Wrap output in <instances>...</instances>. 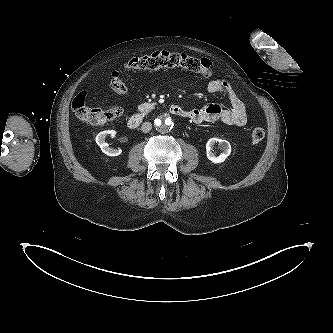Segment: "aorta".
I'll list each match as a JSON object with an SVG mask.
<instances>
[{
  "label": "aorta",
  "mask_w": 333,
  "mask_h": 333,
  "mask_svg": "<svg viewBox=\"0 0 333 333\" xmlns=\"http://www.w3.org/2000/svg\"><path fill=\"white\" fill-rule=\"evenodd\" d=\"M156 129L160 133H167L170 131L172 121L169 117H162L155 122Z\"/></svg>",
  "instance_id": "762f6f07"
}]
</instances>
